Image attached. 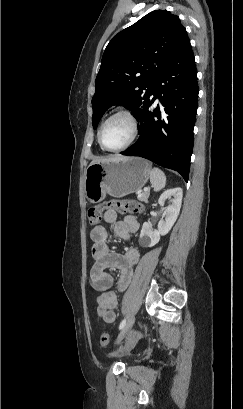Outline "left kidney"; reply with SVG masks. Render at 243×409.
<instances>
[{
  "label": "left kidney",
  "mask_w": 243,
  "mask_h": 409,
  "mask_svg": "<svg viewBox=\"0 0 243 409\" xmlns=\"http://www.w3.org/2000/svg\"><path fill=\"white\" fill-rule=\"evenodd\" d=\"M182 196L181 188H172L161 194L158 200L159 205L163 206L167 199H170L171 205L164 209L157 231H154L149 223L143 224L139 238L140 245L153 247L160 241L161 236L166 235L171 230L180 212Z\"/></svg>",
  "instance_id": "1"
}]
</instances>
